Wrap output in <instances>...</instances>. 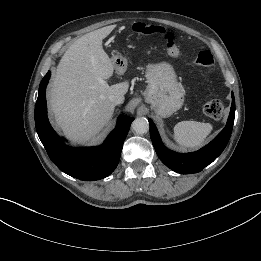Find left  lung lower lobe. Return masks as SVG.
<instances>
[{
  "instance_id": "left-lung-lower-lobe-1",
  "label": "left lung lower lobe",
  "mask_w": 261,
  "mask_h": 261,
  "mask_svg": "<svg viewBox=\"0 0 261 261\" xmlns=\"http://www.w3.org/2000/svg\"><path fill=\"white\" fill-rule=\"evenodd\" d=\"M235 116V100L225 128L205 147L192 153H176L164 146L153 121L150 123V137L160 160L171 170L181 174L197 173L212 163L225 149L231 136Z\"/></svg>"
}]
</instances>
